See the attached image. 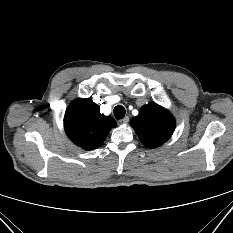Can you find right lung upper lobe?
<instances>
[{
  "instance_id": "1",
  "label": "right lung upper lobe",
  "mask_w": 233,
  "mask_h": 233,
  "mask_svg": "<svg viewBox=\"0 0 233 233\" xmlns=\"http://www.w3.org/2000/svg\"><path fill=\"white\" fill-rule=\"evenodd\" d=\"M116 125L111 116L100 113V107L90 98L74 100L64 116L67 136L86 150L101 146L109 131Z\"/></svg>"
}]
</instances>
